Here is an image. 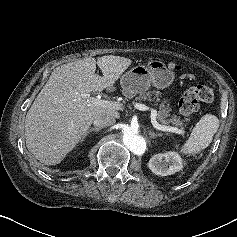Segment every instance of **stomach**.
<instances>
[{"instance_id": "0dacf381", "label": "stomach", "mask_w": 237, "mask_h": 237, "mask_svg": "<svg viewBox=\"0 0 237 237\" xmlns=\"http://www.w3.org/2000/svg\"><path fill=\"white\" fill-rule=\"evenodd\" d=\"M175 75L159 60H151L148 66L138 65L123 74L120 78L122 92L127 98L143 93L154 85L166 88L172 84Z\"/></svg>"}]
</instances>
